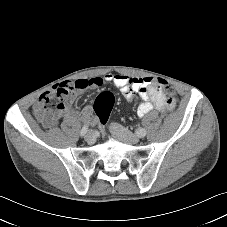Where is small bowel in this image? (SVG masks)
Instances as JSON below:
<instances>
[{
	"label": "small bowel",
	"instance_id": "1",
	"mask_svg": "<svg viewBox=\"0 0 227 227\" xmlns=\"http://www.w3.org/2000/svg\"><path fill=\"white\" fill-rule=\"evenodd\" d=\"M106 82L117 87L128 102H132L136 95L142 99L137 110L139 117L145 116L153 109L166 112L175 105L174 99L167 96L156 78L108 74L104 78L80 79L54 86L51 92L40 96L33 108L34 115L44 127L56 124L63 117L77 116L82 121L91 122L93 108L86 106L80 112H76L73 104L85 89L98 88ZM54 98L60 99V102L53 107L48 106Z\"/></svg>",
	"mask_w": 227,
	"mask_h": 227
}]
</instances>
